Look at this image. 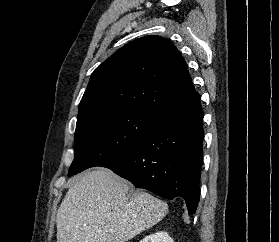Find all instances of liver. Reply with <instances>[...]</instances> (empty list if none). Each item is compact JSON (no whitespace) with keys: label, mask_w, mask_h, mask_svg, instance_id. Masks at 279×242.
Segmentation results:
<instances>
[{"label":"liver","mask_w":279,"mask_h":242,"mask_svg":"<svg viewBox=\"0 0 279 242\" xmlns=\"http://www.w3.org/2000/svg\"><path fill=\"white\" fill-rule=\"evenodd\" d=\"M99 168L71 180L57 212V242H127L167 214L166 202Z\"/></svg>","instance_id":"obj_1"}]
</instances>
